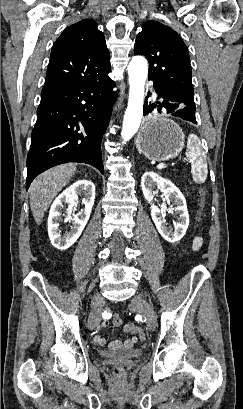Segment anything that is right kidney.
<instances>
[{"instance_id":"right-kidney-1","label":"right kidney","mask_w":243,"mask_h":409,"mask_svg":"<svg viewBox=\"0 0 243 409\" xmlns=\"http://www.w3.org/2000/svg\"><path fill=\"white\" fill-rule=\"evenodd\" d=\"M78 195L83 196L82 203L84 209L79 215H71L74 206L77 204ZM95 199V186L89 180H79L66 188L53 202L48 217V235L54 247L60 250H66L72 246L81 235L86 226ZM68 205L66 221L72 223L71 231L64 236L61 235L59 228L61 210L64 205Z\"/></svg>"}]
</instances>
